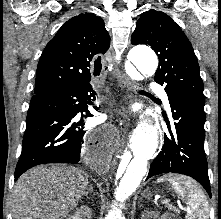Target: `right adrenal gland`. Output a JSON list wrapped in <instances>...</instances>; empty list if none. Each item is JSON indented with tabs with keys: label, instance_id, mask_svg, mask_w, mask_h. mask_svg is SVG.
<instances>
[{
	"label": "right adrenal gland",
	"instance_id": "1",
	"mask_svg": "<svg viewBox=\"0 0 221 219\" xmlns=\"http://www.w3.org/2000/svg\"><path fill=\"white\" fill-rule=\"evenodd\" d=\"M94 191H93V187H92V185L90 184L89 185V189H88V191L86 192V197L88 198V199H90V197L88 196L90 193H93Z\"/></svg>",
	"mask_w": 221,
	"mask_h": 219
}]
</instances>
